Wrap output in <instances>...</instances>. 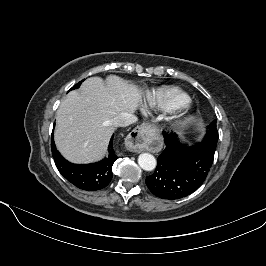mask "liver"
<instances>
[{"instance_id":"obj_1","label":"liver","mask_w":266,"mask_h":266,"mask_svg":"<svg viewBox=\"0 0 266 266\" xmlns=\"http://www.w3.org/2000/svg\"><path fill=\"white\" fill-rule=\"evenodd\" d=\"M141 101L140 88L116 75H109L105 81L100 77L86 79L57 110L54 136L58 150L75 163L99 160L114 132L111 120L135 112Z\"/></svg>"}]
</instances>
